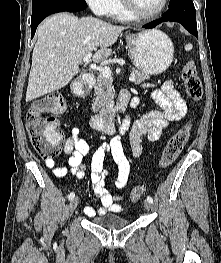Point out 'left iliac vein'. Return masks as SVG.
Here are the masks:
<instances>
[{
    "mask_svg": "<svg viewBox=\"0 0 221 263\" xmlns=\"http://www.w3.org/2000/svg\"><path fill=\"white\" fill-rule=\"evenodd\" d=\"M144 207H145V209L150 210L151 209V203L148 202V201H145L144 202Z\"/></svg>",
    "mask_w": 221,
    "mask_h": 263,
    "instance_id": "1",
    "label": "left iliac vein"
}]
</instances>
